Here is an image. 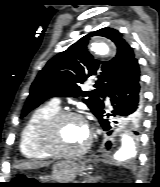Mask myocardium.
I'll return each mask as SVG.
<instances>
[{
  "label": "myocardium",
  "mask_w": 160,
  "mask_h": 187,
  "mask_svg": "<svg viewBox=\"0 0 160 187\" xmlns=\"http://www.w3.org/2000/svg\"><path fill=\"white\" fill-rule=\"evenodd\" d=\"M68 119L80 120L88 129V140L79 150L68 152L58 146V134L61 124ZM40 144L43 150L52 157L73 159L85 155L92 144V134L87 119L80 113L71 110L58 111L43 124L40 132Z\"/></svg>",
  "instance_id": "myocardium-1"
}]
</instances>
